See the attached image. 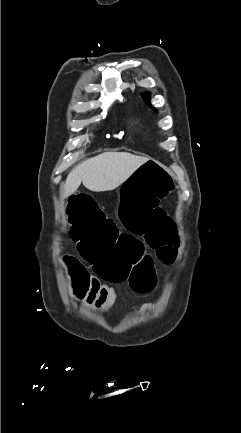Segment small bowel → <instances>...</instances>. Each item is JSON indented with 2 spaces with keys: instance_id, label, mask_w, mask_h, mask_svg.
Wrapping results in <instances>:
<instances>
[{
  "instance_id": "obj_1",
  "label": "small bowel",
  "mask_w": 241,
  "mask_h": 433,
  "mask_svg": "<svg viewBox=\"0 0 241 433\" xmlns=\"http://www.w3.org/2000/svg\"><path fill=\"white\" fill-rule=\"evenodd\" d=\"M134 172H136V170ZM89 280L91 283L90 289L88 292H85L83 296L85 306L103 313L108 312L116 302V289L103 283L95 274H91ZM151 308L152 304L150 303L144 305V309L146 310Z\"/></svg>"
}]
</instances>
